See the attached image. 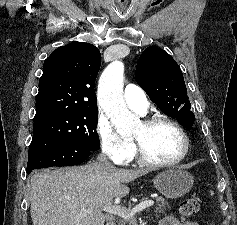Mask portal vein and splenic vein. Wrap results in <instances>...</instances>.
Listing matches in <instances>:
<instances>
[{"mask_svg":"<svg viewBox=\"0 0 237 225\" xmlns=\"http://www.w3.org/2000/svg\"><path fill=\"white\" fill-rule=\"evenodd\" d=\"M152 200H145L134 206L131 210L123 206L108 205L102 208L103 211L110 214L118 215L122 218H133L136 213L143 211L144 209L153 206Z\"/></svg>","mask_w":237,"mask_h":225,"instance_id":"18ae733b","label":"portal vein and splenic vein"}]
</instances>
